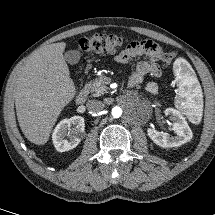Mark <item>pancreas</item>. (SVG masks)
<instances>
[{"label":"pancreas","instance_id":"1","mask_svg":"<svg viewBox=\"0 0 215 215\" xmlns=\"http://www.w3.org/2000/svg\"><path fill=\"white\" fill-rule=\"evenodd\" d=\"M85 88L94 97H98L107 93V86L105 85L103 77H100L92 82H89L88 84L85 85ZM147 89L151 92H156L157 85L156 84L148 85Z\"/></svg>","mask_w":215,"mask_h":215}]
</instances>
